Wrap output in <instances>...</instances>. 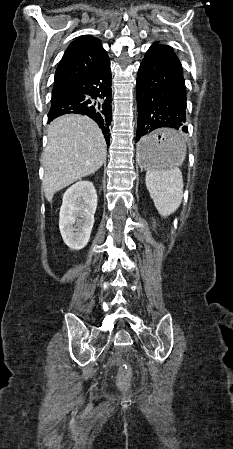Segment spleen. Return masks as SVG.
I'll return each instance as SVG.
<instances>
[{"mask_svg": "<svg viewBox=\"0 0 233 449\" xmlns=\"http://www.w3.org/2000/svg\"><path fill=\"white\" fill-rule=\"evenodd\" d=\"M179 136V143L184 152L186 145ZM146 187L154 201L155 207L163 217L175 212L183 197V182L180 169L176 165L166 168H150L146 173Z\"/></svg>", "mask_w": 233, "mask_h": 449, "instance_id": "obj_1", "label": "spleen"}]
</instances>
